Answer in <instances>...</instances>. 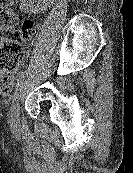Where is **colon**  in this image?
I'll return each instance as SVG.
<instances>
[{
	"mask_svg": "<svg viewBox=\"0 0 133 173\" xmlns=\"http://www.w3.org/2000/svg\"><path fill=\"white\" fill-rule=\"evenodd\" d=\"M13 0H0V93L7 95L14 82L18 65L25 58L28 35L33 27L7 6Z\"/></svg>",
	"mask_w": 133,
	"mask_h": 173,
	"instance_id": "colon-1",
	"label": "colon"
}]
</instances>
